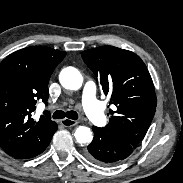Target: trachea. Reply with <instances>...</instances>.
I'll return each mask as SVG.
<instances>
[{"label":"trachea","instance_id":"obj_1","mask_svg":"<svg viewBox=\"0 0 183 183\" xmlns=\"http://www.w3.org/2000/svg\"><path fill=\"white\" fill-rule=\"evenodd\" d=\"M65 117L68 119L77 120L79 116H78L77 112H75V111L64 112L62 110H57L53 113L54 119H63Z\"/></svg>","mask_w":183,"mask_h":183}]
</instances>
